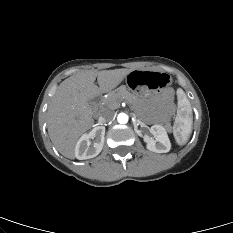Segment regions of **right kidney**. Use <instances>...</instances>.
Here are the masks:
<instances>
[{
  "instance_id": "1",
  "label": "right kidney",
  "mask_w": 233,
  "mask_h": 233,
  "mask_svg": "<svg viewBox=\"0 0 233 233\" xmlns=\"http://www.w3.org/2000/svg\"><path fill=\"white\" fill-rule=\"evenodd\" d=\"M105 127L99 126L81 136L75 146V157L79 160L96 157L104 144Z\"/></svg>"
}]
</instances>
